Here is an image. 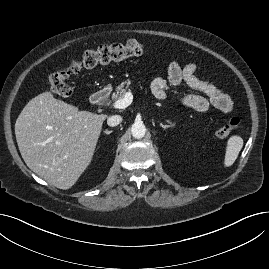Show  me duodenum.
<instances>
[{"label": "duodenum", "instance_id": "1", "mask_svg": "<svg viewBox=\"0 0 269 269\" xmlns=\"http://www.w3.org/2000/svg\"><path fill=\"white\" fill-rule=\"evenodd\" d=\"M109 95L110 89L108 87H103L92 94L90 98L91 103L95 106H100L108 99Z\"/></svg>", "mask_w": 269, "mask_h": 269}]
</instances>
